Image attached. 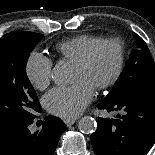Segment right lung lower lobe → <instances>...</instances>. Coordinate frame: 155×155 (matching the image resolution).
<instances>
[{
  "label": "right lung lower lobe",
  "mask_w": 155,
  "mask_h": 155,
  "mask_svg": "<svg viewBox=\"0 0 155 155\" xmlns=\"http://www.w3.org/2000/svg\"><path fill=\"white\" fill-rule=\"evenodd\" d=\"M0 127V155H52L66 125L57 117L47 116L42 130L31 133L29 125Z\"/></svg>",
  "instance_id": "right-lung-lower-lobe-1"
}]
</instances>
